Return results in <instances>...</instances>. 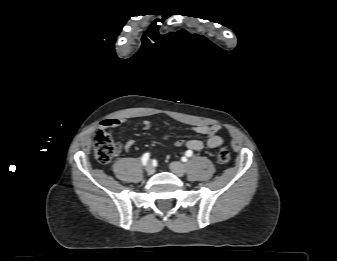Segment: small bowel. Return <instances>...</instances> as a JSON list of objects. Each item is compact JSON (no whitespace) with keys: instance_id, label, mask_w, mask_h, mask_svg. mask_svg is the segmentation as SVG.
<instances>
[{"instance_id":"obj_1","label":"small bowel","mask_w":337,"mask_h":261,"mask_svg":"<svg viewBox=\"0 0 337 261\" xmlns=\"http://www.w3.org/2000/svg\"><path fill=\"white\" fill-rule=\"evenodd\" d=\"M123 123L122 119L119 118H111L103 120L100 123V128H116L119 127ZM152 126V123L149 120L143 121V128L148 130ZM221 127L219 125H197L193 127V131L199 135L205 137V140L199 139H179L176 141V146L182 147L192 151H200L204 148H217L221 146L224 142L223 138L219 135ZM164 138H167V135H164ZM134 146V141L132 139H128L124 141L123 148L126 151H129Z\"/></svg>"}]
</instances>
